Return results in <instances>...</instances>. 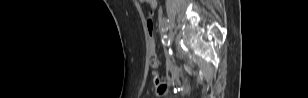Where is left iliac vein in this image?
Wrapping results in <instances>:
<instances>
[{
	"label": "left iliac vein",
	"mask_w": 308,
	"mask_h": 98,
	"mask_svg": "<svg viewBox=\"0 0 308 98\" xmlns=\"http://www.w3.org/2000/svg\"><path fill=\"white\" fill-rule=\"evenodd\" d=\"M168 39H169L170 42L173 41V39H174V32L173 31L168 32Z\"/></svg>",
	"instance_id": "4c4485c4"
}]
</instances>
